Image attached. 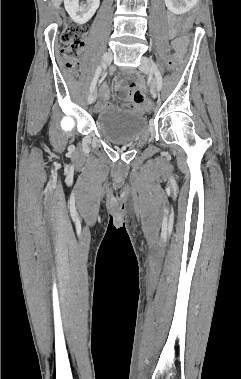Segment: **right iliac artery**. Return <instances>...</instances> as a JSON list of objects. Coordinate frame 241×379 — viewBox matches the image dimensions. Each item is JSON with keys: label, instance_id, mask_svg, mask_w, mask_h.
<instances>
[{"label": "right iliac artery", "instance_id": "right-iliac-artery-1", "mask_svg": "<svg viewBox=\"0 0 241 379\" xmlns=\"http://www.w3.org/2000/svg\"><path fill=\"white\" fill-rule=\"evenodd\" d=\"M104 65H99L96 69V72H95V75H94V78L91 82V85H90V92H93L95 87H96V83H97V80H98V77L100 76L101 72H102V69H103Z\"/></svg>", "mask_w": 241, "mask_h": 379}]
</instances>
